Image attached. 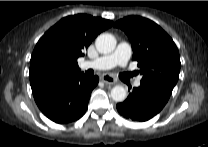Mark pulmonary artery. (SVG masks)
Wrapping results in <instances>:
<instances>
[{
    "label": "pulmonary artery",
    "instance_id": "pulmonary-artery-1",
    "mask_svg": "<svg viewBox=\"0 0 208 147\" xmlns=\"http://www.w3.org/2000/svg\"><path fill=\"white\" fill-rule=\"evenodd\" d=\"M132 54L131 46L126 42L118 44L114 52L108 55L100 56L94 60L83 61L80 65L82 69L107 70L117 65L126 66ZM134 86H140V79L134 81Z\"/></svg>",
    "mask_w": 208,
    "mask_h": 147
}]
</instances>
